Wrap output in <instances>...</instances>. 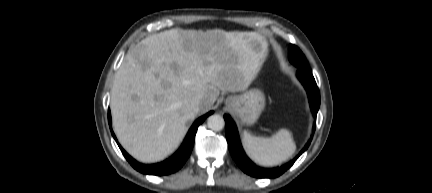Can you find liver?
Wrapping results in <instances>:
<instances>
[{
  "label": "liver",
  "instance_id": "6515ba94",
  "mask_svg": "<svg viewBox=\"0 0 432 193\" xmlns=\"http://www.w3.org/2000/svg\"><path fill=\"white\" fill-rule=\"evenodd\" d=\"M267 55L257 32L171 29L143 39L113 81L110 108L119 142L140 162L163 160L220 91L249 87ZM194 99L201 102L197 112Z\"/></svg>",
  "mask_w": 432,
  "mask_h": 193
}]
</instances>
